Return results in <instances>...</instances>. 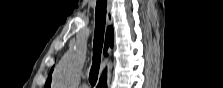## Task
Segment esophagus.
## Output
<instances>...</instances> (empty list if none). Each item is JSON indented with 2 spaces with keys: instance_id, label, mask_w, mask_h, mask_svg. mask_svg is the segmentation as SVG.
Instances as JSON below:
<instances>
[{
  "instance_id": "1",
  "label": "esophagus",
  "mask_w": 223,
  "mask_h": 88,
  "mask_svg": "<svg viewBox=\"0 0 223 88\" xmlns=\"http://www.w3.org/2000/svg\"><path fill=\"white\" fill-rule=\"evenodd\" d=\"M113 22V14H112V0H108L107 2V23L108 25H111ZM107 64V59L104 60L102 64V69L105 68Z\"/></svg>"
}]
</instances>
